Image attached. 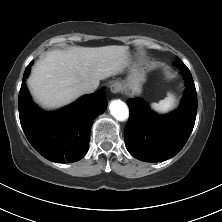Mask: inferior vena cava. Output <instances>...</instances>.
Returning <instances> with one entry per match:
<instances>
[{
    "label": "inferior vena cava",
    "mask_w": 222,
    "mask_h": 222,
    "mask_svg": "<svg viewBox=\"0 0 222 222\" xmlns=\"http://www.w3.org/2000/svg\"><path fill=\"white\" fill-rule=\"evenodd\" d=\"M79 88L82 93L88 94L93 93L96 90L97 85L89 82H84L79 86Z\"/></svg>",
    "instance_id": "inferior-vena-cava-1"
}]
</instances>
